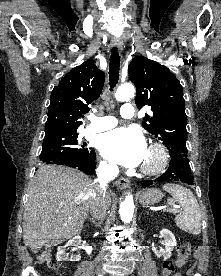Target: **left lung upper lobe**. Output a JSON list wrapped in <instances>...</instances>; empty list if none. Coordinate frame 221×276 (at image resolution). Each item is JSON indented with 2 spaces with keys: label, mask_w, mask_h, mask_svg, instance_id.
Listing matches in <instances>:
<instances>
[{
  "label": "left lung upper lobe",
  "mask_w": 221,
  "mask_h": 276,
  "mask_svg": "<svg viewBox=\"0 0 221 276\" xmlns=\"http://www.w3.org/2000/svg\"><path fill=\"white\" fill-rule=\"evenodd\" d=\"M128 72L137 89V107L149 105L153 112L145 115L143 127L163 142L170 156L187 157V116L180 82L167 67L143 56L132 60Z\"/></svg>",
  "instance_id": "1"
}]
</instances>
